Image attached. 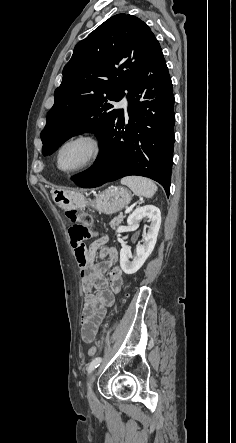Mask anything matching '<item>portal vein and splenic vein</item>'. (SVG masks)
<instances>
[{"instance_id":"18ae733b","label":"portal vein and splenic vein","mask_w":236,"mask_h":443,"mask_svg":"<svg viewBox=\"0 0 236 443\" xmlns=\"http://www.w3.org/2000/svg\"><path fill=\"white\" fill-rule=\"evenodd\" d=\"M132 209H133V206L129 207V208L125 211V213L127 214V213L131 212Z\"/></svg>"}]
</instances>
